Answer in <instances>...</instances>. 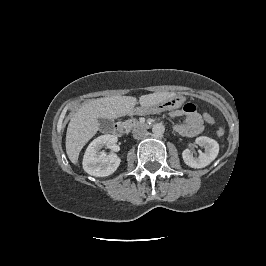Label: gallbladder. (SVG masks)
Masks as SVG:
<instances>
[{"instance_id":"obj_1","label":"gallbladder","mask_w":266,"mask_h":266,"mask_svg":"<svg viewBox=\"0 0 266 266\" xmlns=\"http://www.w3.org/2000/svg\"><path fill=\"white\" fill-rule=\"evenodd\" d=\"M100 129L109 131L113 128V121L107 118H99L98 119Z\"/></svg>"}]
</instances>
